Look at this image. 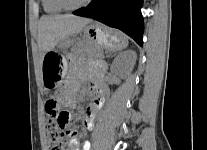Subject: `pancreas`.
<instances>
[{"label": "pancreas", "mask_w": 207, "mask_h": 150, "mask_svg": "<svg viewBox=\"0 0 207 150\" xmlns=\"http://www.w3.org/2000/svg\"><path fill=\"white\" fill-rule=\"evenodd\" d=\"M91 50H92V52H98L99 51V49H95V48H92ZM101 57H102V54H101Z\"/></svg>", "instance_id": "pancreas-1"}]
</instances>
